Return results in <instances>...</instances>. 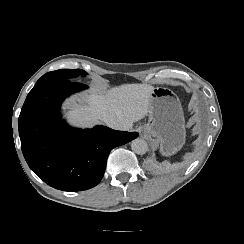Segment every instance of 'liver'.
<instances>
[{
	"instance_id": "6515ba94",
	"label": "liver",
	"mask_w": 244,
	"mask_h": 244,
	"mask_svg": "<svg viewBox=\"0 0 244 244\" xmlns=\"http://www.w3.org/2000/svg\"><path fill=\"white\" fill-rule=\"evenodd\" d=\"M153 92L154 88L149 85H125L112 88L106 97L87 94L82 97L87 108L73 111L71 118L78 124H92L108 117L131 129L133 123L149 114ZM78 104L80 100L74 99L66 108L72 109Z\"/></svg>"
}]
</instances>
